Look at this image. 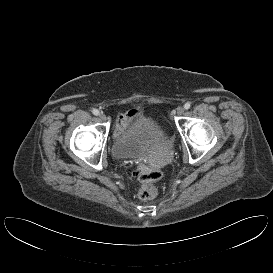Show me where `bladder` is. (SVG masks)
Returning <instances> with one entry per match:
<instances>
[{
  "mask_svg": "<svg viewBox=\"0 0 273 273\" xmlns=\"http://www.w3.org/2000/svg\"><path fill=\"white\" fill-rule=\"evenodd\" d=\"M167 139L166 132L155 120L140 115L115 137L111 152L117 159L139 158L147 153L151 144Z\"/></svg>",
  "mask_w": 273,
  "mask_h": 273,
  "instance_id": "31cf9c89",
  "label": "bladder"
}]
</instances>
